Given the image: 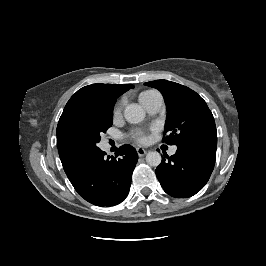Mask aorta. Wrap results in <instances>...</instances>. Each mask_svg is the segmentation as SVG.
<instances>
[{
	"label": "aorta",
	"instance_id": "aorta-1",
	"mask_svg": "<svg viewBox=\"0 0 266 266\" xmlns=\"http://www.w3.org/2000/svg\"><path fill=\"white\" fill-rule=\"evenodd\" d=\"M124 117L129 123L137 124L145 118V111L140 105L133 103L125 108ZM161 159V155L157 151L148 152L146 155L147 164L153 167L160 165Z\"/></svg>",
	"mask_w": 266,
	"mask_h": 266
}]
</instances>
